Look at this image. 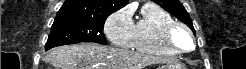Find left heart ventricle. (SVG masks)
<instances>
[{"instance_id":"b2bd125f","label":"left heart ventricle","mask_w":246,"mask_h":69,"mask_svg":"<svg viewBox=\"0 0 246 69\" xmlns=\"http://www.w3.org/2000/svg\"><path fill=\"white\" fill-rule=\"evenodd\" d=\"M173 38L175 40V42L183 47V48H186L189 44V37L188 35L182 31V30H176L173 34Z\"/></svg>"}]
</instances>
